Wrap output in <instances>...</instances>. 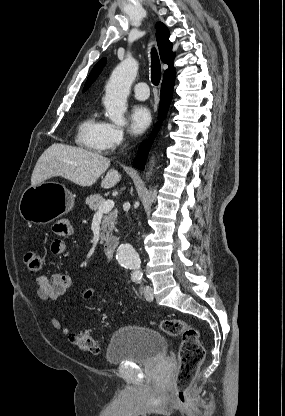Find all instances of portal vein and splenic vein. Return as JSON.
Instances as JSON below:
<instances>
[{"instance_id": "1", "label": "portal vein and splenic vein", "mask_w": 285, "mask_h": 416, "mask_svg": "<svg viewBox=\"0 0 285 416\" xmlns=\"http://www.w3.org/2000/svg\"><path fill=\"white\" fill-rule=\"evenodd\" d=\"M112 208H114L113 200H106L103 202L101 206H99V210L95 216H101V214H107V212H111Z\"/></svg>"}]
</instances>
